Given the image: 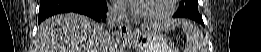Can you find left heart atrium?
Here are the masks:
<instances>
[{
	"instance_id": "left-heart-atrium-1",
	"label": "left heart atrium",
	"mask_w": 261,
	"mask_h": 52,
	"mask_svg": "<svg viewBox=\"0 0 261 52\" xmlns=\"http://www.w3.org/2000/svg\"><path fill=\"white\" fill-rule=\"evenodd\" d=\"M120 2H122V3H132V2H134V1H132V0H120ZM136 3V2H135Z\"/></svg>"
}]
</instances>
